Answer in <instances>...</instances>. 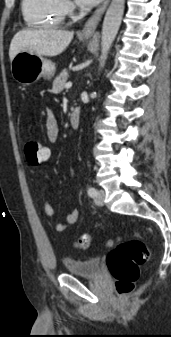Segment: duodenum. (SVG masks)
<instances>
[{"mask_svg":"<svg viewBox=\"0 0 171 337\" xmlns=\"http://www.w3.org/2000/svg\"><path fill=\"white\" fill-rule=\"evenodd\" d=\"M70 123L73 128H77L80 124V110L78 107H75L70 116Z\"/></svg>","mask_w":171,"mask_h":337,"instance_id":"duodenum-1","label":"duodenum"}]
</instances>
